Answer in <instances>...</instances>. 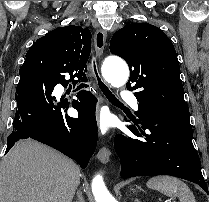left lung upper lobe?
I'll return each mask as SVG.
<instances>
[{
  "label": "left lung upper lobe",
  "instance_id": "obj_1",
  "mask_svg": "<svg viewBox=\"0 0 209 202\" xmlns=\"http://www.w3.org/2000/svg\"><path fill=\"white\" fill-rule=\"evenodd\" d=\"M110 52L127 62L130 78L126 87L137 90L139 104L189 111L175 48L159 28L148 23L128 24L113 35Z\"/></svg>",
  "mask_w": 209,
  "mask_h": 202
}]
</instances>
